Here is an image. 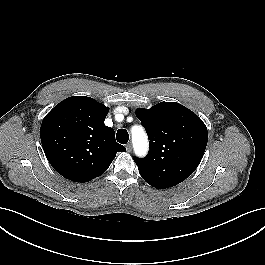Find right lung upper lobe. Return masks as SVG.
I'll list each match as a JSON object with an SVG mask.
<instances>
[{
    "label": "right lung upper lobe",
    "mask_w": 265,
    "mask_h": 265,
    "mask_svg": "<svg viewBox=\"0 0 265 265\" xmlns=\"http://www.w3.org/2000/svg\"><path fill=\"white\" fill-rule=\"evenodd\" d=\"M109 108L86 96L69 97L43 119L41 142L52 167L64 178L88 182L102 175L117 152L126 151L105 126Z\"/></svg>",
    "instance_id": "obj_1"
}]
</instances>
